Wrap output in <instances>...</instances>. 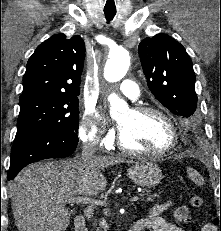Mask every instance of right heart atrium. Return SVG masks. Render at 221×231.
<instances>
[{
	"label": "right heart atrium",
	"instance_id": "d8ad5b80",
	"mask_svg": "<svg viewBox=\"0 0 221 231\" xmlns=\"http://www.w3.org/2000/svg\"><path fill=\"white\" fill-rule=\"evenodd\" d=\"M79 137L84 143L95 147L107 146L113 139V132L101 126V116L92 105L86 107L82 116Z\"/></svg>",
	"mask_w": 221,
	"mask_h": 231
}]
</instances>
